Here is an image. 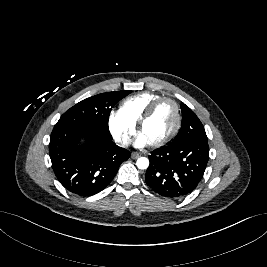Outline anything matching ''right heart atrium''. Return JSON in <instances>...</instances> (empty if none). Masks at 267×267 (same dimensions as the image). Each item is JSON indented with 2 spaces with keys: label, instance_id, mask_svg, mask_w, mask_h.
Here are the masks:
<instances>
[{
  "label": "right heart atrium",
  "instance_id": "d8ad5b80",
  "mask_svg": "<svg viewBox=\"0 0 267 267\" xmlns=\"http://www.w3.org/2000/svg\"><path fill=\"white\" fill-rule=\"evenodd\" d=\"M108 126L113 138L121 145H126L135 132V124L120 109L110 111Z\"/></svg>",
  "mask_w": 267,
  "mask_h": 267
}]
</instances>
